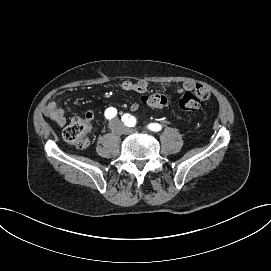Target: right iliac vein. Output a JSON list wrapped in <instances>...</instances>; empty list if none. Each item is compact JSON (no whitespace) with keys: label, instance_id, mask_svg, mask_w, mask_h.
<instances>
[{"label":"right iliac vein","instance_id":"right-iliac-vein-1","mask_svg":"<svg viewBox=\"0 0 271 271\" xmlns=\"http://www.w3.org/2000/svg\"><path fill=\"white\" fill-rule=\"evenodd\" d=\"M110 129H111V132H114L117 134L126 132L123 124L118 120H113V122L110 124Z\"/></svg>","mask_w":271,"mask_h":271}]
</instances>
